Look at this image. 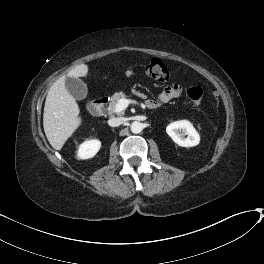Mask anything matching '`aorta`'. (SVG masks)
Here are the masks:
<instances>
[{"label": "aorta", "instance_id": "obj_1", "mask_svg": "<svg viewBox=\"0 0 264 264\" xmlns=\"http://www.w3.org/2000/svg\"><path fill=\"white\" fill-rule=\"evenodd\" d=\"M130 130L135 134L140 133L143 130V124L138 121H134L130 125Z\"/></svg>", "mask_w": 264, "mask_h": 264}]
</instances>
